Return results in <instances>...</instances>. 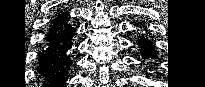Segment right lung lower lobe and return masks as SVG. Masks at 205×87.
Instances as JSON below:
<instances>
[{"instance_id": "98d812e1", "label": "right lung lower lobe", "mask_w": 205, "mask_h": 87, "mask_svg": "<svg viewBox=\"0 0 205 87\" xmlns=\"http://www.w3.org/2000/svg\"><path fill=\"white\" fill-rule=\"evenodd\" d=\"M68 15V12L60 13L51 21L46 44L39 54L37 72L43 87H65L68 80L75 31Z\"/></svg>"}]
</instances>
